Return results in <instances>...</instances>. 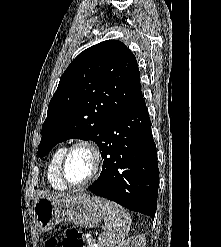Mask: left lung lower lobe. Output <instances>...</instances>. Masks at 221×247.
<instances>
[{
    "instance_id": "left-lung-lower-lobe-1",
    "label": "left lung lower lobe",
    "mask_w": 221,
    "mask_h": 247,
    "mask_svg": "<svg viewBox=\"0 0 221 247\" xmlns=\"http://www.w3.org/2000/svg\"><path fill=\"white\" fill-rule=\"evenodd\" d=\"M146 104L105 127L102 172L91 185L97 196L154 218L159 187L156 145Z\"/></svg>"
}]
</instances>
